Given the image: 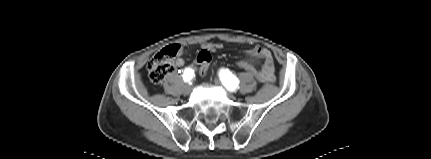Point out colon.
Returning a JSON list of instances; mask_svg holds the SVG:
<instances>
[{
	"label": "colon",
	"mask_w": 431,
	"mask_h": 159,
	"mask_svg": "<svg viewBox=\"0 0 431 159\" xmlns=\"http://www.w3.org/2000/svg\"><path fill=\"white\" fill-rule=\"evenodd\" d=\"M184 52H186V54H189L190 50L184 49ZM178 53L179 47L176 45H172L162 49L152 57V59L147 64V70L149 78L153 83L162 82L166 75L173 70V59L178 55ZM211 63V55L208 52L203 51L198 52V55H196V59H192L189 62V65L192 68H196L197 66H199L198 79L204 80L209 74L208 66L211 65ZM234 65L237 68L242 67V70L250 71L251 73H253L257 84L262 83L261 76L258 74V70L254 69L253 66L240 61L235 62Z\"/></svg>",
	"instance_id": "obj_1"
}]
</instances>
